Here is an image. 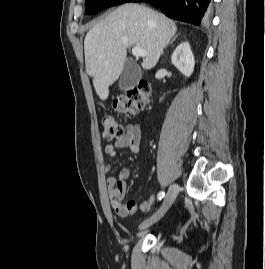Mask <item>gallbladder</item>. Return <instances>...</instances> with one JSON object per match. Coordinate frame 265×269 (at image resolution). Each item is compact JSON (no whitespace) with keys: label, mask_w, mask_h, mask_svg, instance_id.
Returning <instances> with one entry per match:
<instances>
[{"label":"gallbladder","mask_w":265,"mask_h":269,"mask_svg":"<svg viewBox=\"0 0 265 269\" xmlns=\"http://www.w3.org/2000/svg\"><path fill=\"white\" fill-rule=\"evenodd\" d=\"M139 78H140V69L138 65L132 60L127 61L124 65L119 80L120 90L126 91L130 88H133L136 85Z\"/></svg>","instance_id":"gallbladder-1"}]
</instances>
